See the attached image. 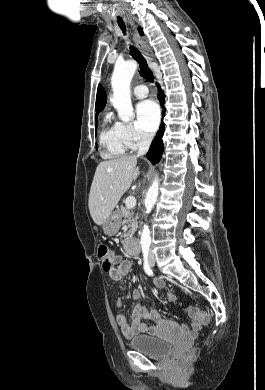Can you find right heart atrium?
Listing matches in <instances>:
<instances>
[{
	"label": "right heart atrium",
	"mask_w": 265,
	"mask_h": 390,
	"mask_svg": "<svg viewBox=\"0 0 265 390\" xmlns=\"http://www.w3.org/2000/svg\"><path fill=\"white\" fill-rule=\"evenodd\" d=\"M122 134L127 146L131 149L139 148L149 142L150 137L146 133H143L133 124L120 123Z\"/></svg>",
	"instance_id": "d8ad5b80"
}]
</instances>
